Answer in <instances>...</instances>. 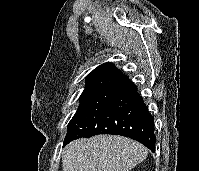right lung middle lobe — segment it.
Instances as JSON below:
<instances>
[{
  "instance_id": "dd1d6c3e",
  "label": "right lung middle lobe",
  "mask_w": 199,
  "mask_h": 171,
  "mask_svg": "<svg viewBox=\"0 0 199 171\" xmlns=\"http://www.w3.org/2000/svg\"><path fill=\"white\" fill-rule=\"evenodd\" d=\"M112 76H98L93 77L88 80H86L85 89L80 96V104L77 109V112L71 119L68 125L69 127L72 125V123L75 121L77 115L80 113V111L89 103V101L101 90L103 89L109 82L113 79Z\"/></svg>"
}]
</instances>
